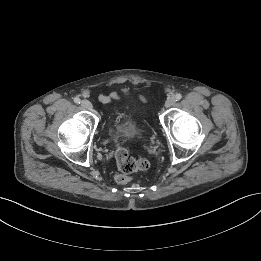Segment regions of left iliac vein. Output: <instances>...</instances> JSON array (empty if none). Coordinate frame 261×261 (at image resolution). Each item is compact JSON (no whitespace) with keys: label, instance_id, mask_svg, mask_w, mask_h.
<instances>
[{"label":"left iliac vein","instance_id":"1","mask_svg":"<svg viewBox=\"0 0 261 261\" xmlns=\"http://www.w3.org/2000/svg\"><path fill=\"white\" fill-rule=\"evenodd\" d=\"M174 105H175V98L174 97H168L166 102H165L166 108H170Z\"/></svg>","mask_w":261,"mask_h":261}]
</instances>
